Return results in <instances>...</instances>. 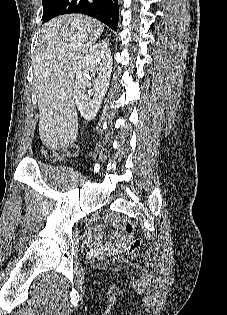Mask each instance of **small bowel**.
I'll return each instance as SVG.
<instances>
[{"instance_id":"obj_1","label":"small bowel","mask_w":227,"mask_h":315,"mask_svg":"<svg viewBox=\"0 0 227 315\" xmlns=\"http://www.w3.org/2000/svg\"><path fill=\"white\" fill-rule=\"evenodd\" d=\"M104 233V228L99 227L97 229V234L101 235ZM121 242L119 240H113L108 243H102L99 242V245L101 248L105 249L106 251H117V249L120 247Z\"/></svg>"}]
</instances>
